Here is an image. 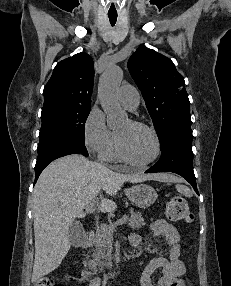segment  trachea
Returning a JSON list of instances; mask_svg holds the SVG:
<instances>
[{
    "instance_id": "trachea-1",
    "label": "trachea",
    "mask_w": 231,
    "mask_h": 286,
    "mask_svg": "<svg viewBox=\"0 0 231 286\" xmlns=\"http://www.w3.org/2000/svg\"><path fill=\"white\" fill-rule=\"evenodd\" d=\"M108 17L111 25L114 26L117 21V14H108Z\"/></svg>"
}]
</instances>
